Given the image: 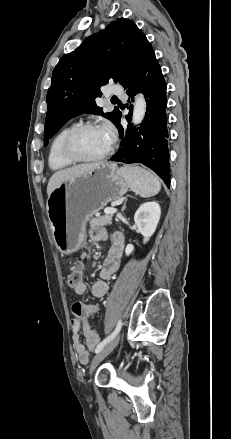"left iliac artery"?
<instances>
[{
    "label": "left iliac artery",
    "instance_id": "obj_1",
    "mask_svg": "<svg viewBox=\"0 0 231 439\" xmlns=\"http://www.w3.org/2000/svg\"><path fill=\"white\" fill-rule=\"evenodd\" d=\"M121 327H122V321L119 320L115 330L107 338H105L103 341H101L98 344V346L95 349V352L96 353L100 352L104 348V346L107 345L119 333Z\"/></svg>",
    "mask_w": 231,
    "mask_h": 439
}]
</instances>
